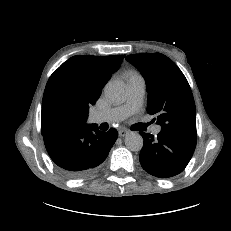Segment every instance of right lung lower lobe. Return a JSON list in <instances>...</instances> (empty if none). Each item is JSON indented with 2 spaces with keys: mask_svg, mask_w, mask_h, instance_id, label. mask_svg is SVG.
<instances>
[{
  "mask_svg": "<svg viewBox=\"0 0 231 231\" xmlns=\"http://www.w3.org/2000/svg\"><path fill=\"white\" fill-rule=\"evenodd\" d=\"M117 137L115 129L102 132L96 124L86 123L43 135L49 156L70 178H84L97 172Z\"/></svg>",
  "mask_w": 231,
  "mask_h": 231,
  "instance_id": "98d812e1",
  "label": "right lung lower lobe"
}]
</instances>
